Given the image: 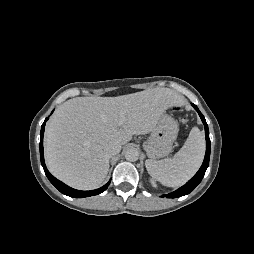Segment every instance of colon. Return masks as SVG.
<instances>
[{"label": "colon", "instance_id": "obj_1", "mask_svg": "<svg viewBox=\"0 0 254 254\" xmlns=\"http://www.w3.org/2000/svg\"><path fill=\"white\" fill-rule=\"evenodd\" d=\"M174 109H175V110H179L180 108H179L178 106H175Z\"/></svg>", "mask_w": 254, "mask_h": 254}]
</instances>
